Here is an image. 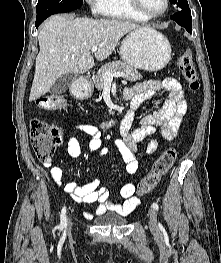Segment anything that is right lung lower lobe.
<instances>
[{
  "label": "right lung lower lobe",
  "instance_id": "right-lung-lower-lobe-1",
  "mask_svg": "<svg viewBox=\"0 0 221 263\" xmlns=\"http://www.w3.org/2000/svg\"><path fill=\"white\" fill-rule=\"evenodd\" d=\"M67 12H69V11H67ZM51 15H52V14H51ZM49 16H50V15L36 18V22H35L36 28H38V26H39L47 17H49Z\"/></svg>",
  "mask_w": 221,
  "mask_h": 263
}]
</instances>
